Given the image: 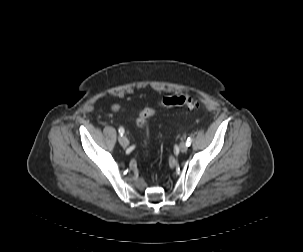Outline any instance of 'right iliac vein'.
I'll return each instance as SVG.
<instances>
[{
    "label": "right iliac vein",
    "instance_id": "63e3f726",
    "mask_svg": "<svg viewBox=\"0 0 303 252\" xmlns=\"http://www.w3.org/2000/svg\"><path fill=\"white\" fill-rule=\"evenodd\" d=\"M119 143L121 144L122 147L129 146V140L125 136L119 137Z\"/></svg>",
    "mask_w": 303,
    "mask_h": 252
}]
</instances>
